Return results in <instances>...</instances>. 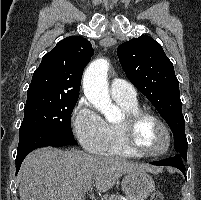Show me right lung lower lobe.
<instances>
[{"mask_svg": "<svg viewBox=\"0 0 201 200\" xmlns=\"http://www.w3.org/2000/svg\"><path fill=\"white\" fill-rule=\"evenodd\" d=\"M66 145H77V141L74 137L46 129H31L20 132L16 156V174L19 172L24 158L34 149L45 146L61 147Z\"/></svg>", "mask_w": 201, "mask_h": 200, "instance_id": "right-lung-lower-lobe-1", "label": "right lung lower lobe"}]
</instances>
